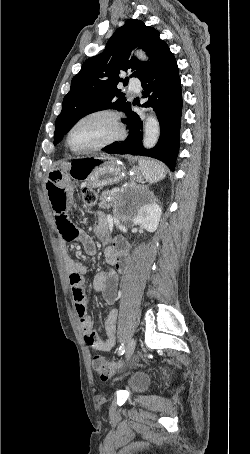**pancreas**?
I'll use <instances>...</instances> for the list:
<instances>
[{"mask_svg":"<svg viewBox=\"0 0 250 454\" xmlns=\"http://www.w3.org/2000/svg\"><path fill=\"white\" fill-rule=\"evenodd\" d=\"M117 194L114 193L113 190H106L102 193L101 197H100V203H99V208L101 209H109L113 204L116 203L115 202H110L106 199L107 196H114L115 198Z\"/></svg>","mask_w":250,"mask_h":454,"instance_id":"1","label":"pancreas"}]
</instances>
